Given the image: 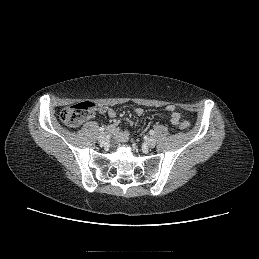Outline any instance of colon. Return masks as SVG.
I'll use <instances>...</instances> for the list:
<instances>
[{
  "label": "colon",
  "instance_id": "1",
  "mask_svg": "<svg viewBox=\"0 0 259 259\" xmlns=\"http://www.w3.org/2000/svg\"><path fill=\"white\" fill-rule=\"evenodd\" d=\"M97 107L94 103L89 101L79 102L64 108L60 113V119L63 123L70 127H77L84 120L89 118ZM190 126L188 120H181L179 127L181 130H187Z\"/></svg>",
  "mask_w": 259,
  "mask_h": 259
}]
</instances>
